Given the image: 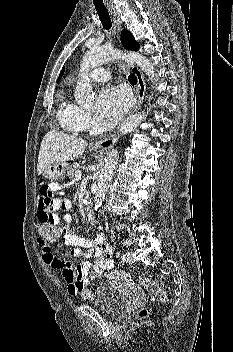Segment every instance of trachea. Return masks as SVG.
Returning <instances> with one entry per match:
<instances>
[{
  "label": "trachea",
  "mask_w": 233,
  "mask_h": 352,
  "mask_svg": "<svg viewBox=\"0 0 233 352\" xmlns=\"http://www.w3.org/2000/svg\"><path fill=\"white\" fill-rule=\"evenodd\" d=\"M96 11H97V14L99 16V19L103 25V28L105 30H110L111 29V26H112V22H111V19H110V15H109V12L106 8H99V7H96ZM128 80L131 84H136L137 83V77L133 74H130L128 76Z\"/></svg>",
  "instance_id": "1"
}]
</instances>
